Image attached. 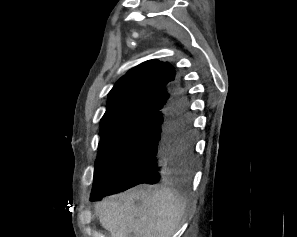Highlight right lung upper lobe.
Instances as JSON below:
<instances>
[{
	"mask_svg": "<svg viewBox=\"0 0 297 237\" xmlns=\"http://www.w3.org/2000/svg\"><path fill=\"white\" fill-rule=\"evenodd\" d=\"M181 89L168 62L148 60L130 69L108 94L100 126L130 116H152L164 110L175 90Z\"/></svg>",
	"mask_w": 297,
	"mask_h": 237,
	"instance_id": "obj_1",
	"label": "right lung upper lobe"
}]
</instances>
